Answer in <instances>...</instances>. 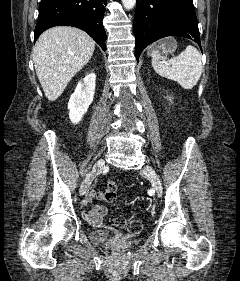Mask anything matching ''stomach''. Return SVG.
<instances>
[{
    "label": "stomach",
    "mask_w": 240,
    "mask_h": 281,
    "mask_svg": "<svg viewBox=\"0 0 240 281\" xmlns=\"http://www.w3.org/2000/svg\"><path fill=\"white\" fill-rule=\"evenodd\" d=\"M162 43H165V46H164V48H162L163 50L161 51L160 54H168V53L172 54L175 51L176 47H177V43H176L175 39L174 38H168V39L163 40L162 42L157 43L156 45L151 46L148 49V54L151 55V52L155 48H157L158 50L159 49L161 50V48H159V46Z\"/></svg>",
    "instance_id": "0dacf381"
}]
</instances>
